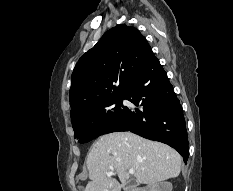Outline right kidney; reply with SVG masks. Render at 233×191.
Returning a JSON list of instances; mask_svg holds the SVG:
<instances>
[{
  "mask_svg": "<svg viewBox=\"0 0 233 191\" xmlns=\"http://www.w3.org/2000/svg\"><path fill=\"white\" fill-rule=\"evenodd\" d=\"M149 191H172V184L170 182H161L153 185Z\"/></svg>",
  "mask_w": 233,
  "mask_h": 191,
  "instance_id": "right-kidney-1",
  "label": "right kidney"
}]
</instances>
